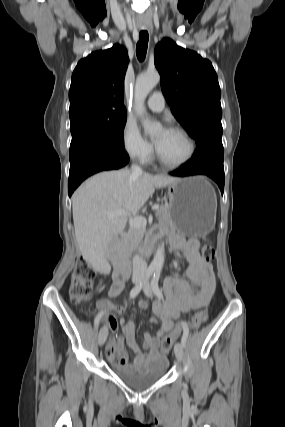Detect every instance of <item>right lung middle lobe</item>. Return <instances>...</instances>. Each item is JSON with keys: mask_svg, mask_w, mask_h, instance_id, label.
Segmentation results:
<instances>
[{"mask_svg": "<svg viewBox=\"0 0 285 427\" xmlns=\"http://www.w3.org/2000/svg\"><path fill=\"white\" fill-rule=\"evenodd\" d=\"M126 118V112L115 111H85L70 115L72 141L69 159L92 144L123 151Z\"/></svg>", "mask_w": 285, "mask_h": 427, "instance_id": "dd1d6c3e", "label": "right lung middle lobe"}]
</instances>
